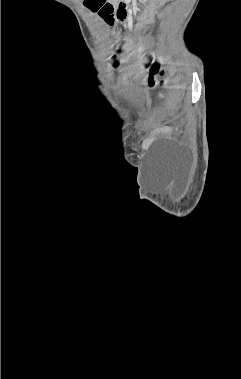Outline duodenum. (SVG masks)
<instances>
[{"label": "duodenum", "instance_id": "1", "mask_svg": "<svg viewBox=\"0 0 241 379\" xmlns=\"http://www.w3.org/2000/svg\"><path fill=\"white\" fill-rule=\"evenodd\" d=\"M112 9H113V12L115 10V14L118 19H124L127 16V11H128L127 0H120V2L116 4L114 8L112 6Z\"/></svg>", "mask_w": 241, "mask_h": 379}]
</instances>
